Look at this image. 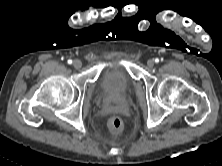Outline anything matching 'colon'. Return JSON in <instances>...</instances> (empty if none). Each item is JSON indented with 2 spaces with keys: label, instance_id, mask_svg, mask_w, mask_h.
I'll return each mask as SVG.
<instances>
[{
  "label": "colon",
  "instance_id": "5ec220e1",
  "mask_svg": "<svg viewBox=\"0 0 222 166\" xmlns=\"http://www.w3.org/2000/svg\"><path fill=\"white\" fill-rule=\"evenodd\" d=\"M108 129L113 134H119L124 129L123 120L118 116H112L108 121Z\"/></svg>",
  "mask_w": 222,
  "mask_h": 166
}]
</instances>
